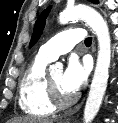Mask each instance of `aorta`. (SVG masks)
<instances>
[{"label": "aorta", "mask_w": 118, "mask_h": 123, "mask_svg": "<svg viewBox=\"0 0 118 123\" xmlns=\"http://www.w3.org/2000/svg\"><path fill=\"white\" fill-rule=\"evenodd\" d=\"M76 19L84 20L94 31L98 40L97 62L83 116L84 123H91L99 111L107 88L111 62V39L106 21L93 8L83 5L73 6L59 15L60 24H67Z\"/></svg>", "instance_id": "obj_1"}]
</instances>
